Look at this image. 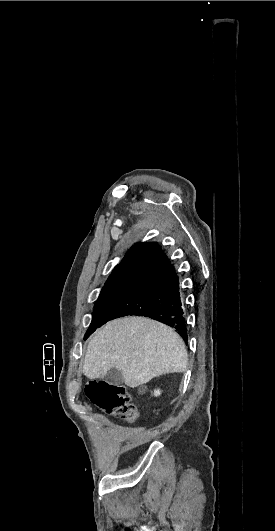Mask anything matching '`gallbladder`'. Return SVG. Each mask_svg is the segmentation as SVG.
<instances>
[{
	"label": "gallbladder",
	"mask_w": 275,
	"mask_h": 531,
	"mask_svg": "<svg viewBox=\"0 0 275 531\" xmlns=\"http://www.w3.org/2000/svg\"><path fill=\"white\" fill-rule=\"evenodd\" d=\"M104 381H106L108 385H113V387H118V385H122V383H124L123 375L121 371L116 369V367H113V369L108 371L107 375L104 377Z\"/></svg>",
	"instance_id": "obj_1"
}]
</instances>
